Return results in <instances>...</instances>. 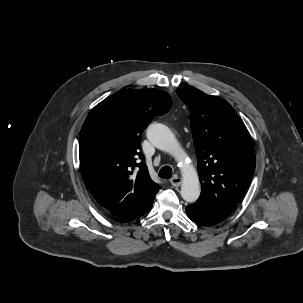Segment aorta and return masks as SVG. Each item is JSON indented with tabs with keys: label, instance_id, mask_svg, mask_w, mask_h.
<instances>
[{
	"label": "aorta",
	"instance_id": "762f6f07",
	"mask_svg": "<svg viewBox=\"0 0 303 303\" xmlns=\"http://www.w3.org/2000/svg\"><path fill=\"white\" fill-rule=\"evenodd\" d=\"M148 140L158 149L169 152L177 161L182 162V185L181 197L186 202H195L201 192L199 177L196 170L190 166L185 165L184 161L187 154L180 146L174 133L164 124L153 123L147 128Z\"/></svg>",
	"mask_w": 303,
	"mask_h": 303
}]
</instances>
